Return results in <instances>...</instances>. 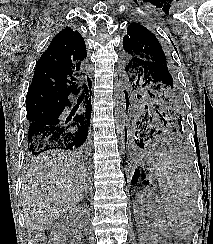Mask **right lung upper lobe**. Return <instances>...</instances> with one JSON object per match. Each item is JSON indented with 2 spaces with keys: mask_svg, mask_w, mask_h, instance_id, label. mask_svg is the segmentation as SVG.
Segmentation results:
<instances>
[{
  "mask_svg": "<svg viewBox=\"0 0 213 244\" xmlns=\"http://www.w3.org/2000/svg\"><path fill=\"white\" fill-rule=\"evenodd\" d=\"M86 56L81 34L71 27L62 29L38 60L27 98L44 94L64 98L73 93L74 76Z\"/></svg>",
  "mask_w": 213,
  "mask_h": 244,
  "instance_id": "1",
  "label": "right lung upper lobe"
}]
</instances>
